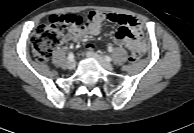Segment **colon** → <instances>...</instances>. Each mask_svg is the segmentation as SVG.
<instances>
[{
    "instance_id": "obj_1",
    "label": "colon",
    "mask_w": 194,
    "mask_h": 133,
    "mask_svg": "<svg viewBox=\"0 0 194 133\" xmlns=\"http://www.w3.org/2000/svg\"><path fill=\"white\" fill-rule=\"evenodd\" d=\"M83 25L81 16L75 14L54 15L49 19V23L39 26L32 38V51L34 58L38 62H46L53 49L62 41L66 31L75 32ZM89 52H95L98 44L95 41H89L86 44ZM141 56L138 50L131 52L130 61L136 62Z\"/></svg>"
}]
</instances>
